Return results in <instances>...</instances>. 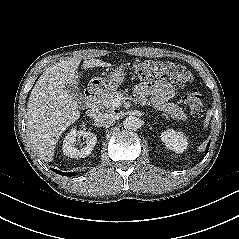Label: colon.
<instances>
[{"label": "colon", "instance_id": "obj_1", "mask_svg": "<svg viewBox=\"0 0 239 239\" xmlns=\"http://www.w3.org/2000/svg\"><path fill=\"white\" fill-rule=\"evenodd\" d=\"M134 76L140 80L164 78L180 87L192 84L191 73L182 65L171 61L139 60L132 67ZM184 104L195 117L204 115L205 107L200 92L190 87L184 94Z\"/></svg>", "mask_w": 239, "mask_h": 239}]
</instances>
